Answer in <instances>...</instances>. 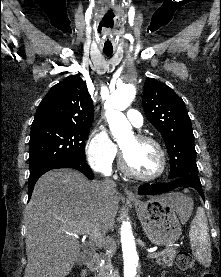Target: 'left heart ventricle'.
Segmentation results:
<instances>
[{
	"label": "left heart ventricle",
	"instance_id": "1",
	"mask_svg": "<svg viewBox=\"0 0 221 277\" xmlns=\"http://www.w3.org/2000/svg\"><path fill=\"white\" fill-rule=\"evenodd\" d=\"M120 147L130 168L138 174L151 176L159 170L160 155L153 144L138 143L134 137H130Z\"/></svg>",
	"mask_w": 221,
	"mask_h": 277
}]
</instances>
